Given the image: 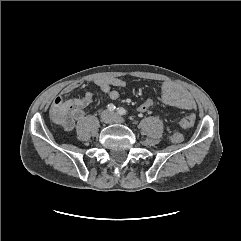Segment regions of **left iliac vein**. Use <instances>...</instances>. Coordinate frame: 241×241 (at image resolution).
I'll return each instance as SVG.
<instances>
[{
	"label": "left iliac vein",
	"mask_w": 241,
	"mask_h": 241,
	"mask_svg": "<svg viewBox=\"0 0 241 241\" xmlns=\"http://www.w3.org/2000/svg\"><path fill=\"white\" fill-rule=\"evenodd\" d=\"M113 121L119 124H123L125 122V120L121 116L116 114L114 115Z\"/></svg>",
	"instance_id": "left-iliac-vein-1"
}]
</instances>
